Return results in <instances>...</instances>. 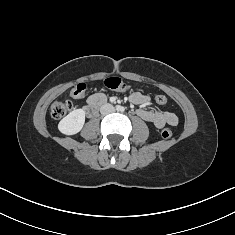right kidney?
<instances>
[{
    "label": "right kidney",
    "instance_id": "right-kidney-1",
    "mask_svg": "<svg viewBox=\"0 0 235 235\" xmlns=\"http://www.w3.org/2000/svg\"><path fill=\"white\" fill-rule=\"evenodd\" d=\"M85 123V111L76 109L65 116L58 124V129L65 135H74L81 131Z\"/></svg>",
    "mask_w": 235,
    "mask_h": 235
}]
</instances>
